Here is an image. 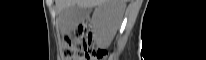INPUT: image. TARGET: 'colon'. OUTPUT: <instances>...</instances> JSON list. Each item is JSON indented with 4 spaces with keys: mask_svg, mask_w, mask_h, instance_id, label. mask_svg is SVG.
Segmentation results:
<instances>
[{
    "mask_svg": "<svg viewBox=\"0 0 206 60\" xmlns=\"http://www.w3.org/2000/svg\"><path fill=\"white\" fill-rule=\"evenodd\" d=\"M65 60H100L106 51L92 46V37L87 23L78 25L73 36H66L63 44Z\"/></svg>",
    "mask_w": 206,
    "mask_h": 60,
    "instance_id": "1",
    "label": "colon"
}]
</instances>
